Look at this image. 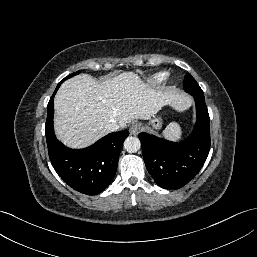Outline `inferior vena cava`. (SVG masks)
Masks as SVG:
<instances>
[{"label": "inferior vena cava", "instance_id": "1", "mask_svg": "<svg viewBox=\"0 0 257 257\" xmlns=\"http://www.w3.org/2000/svg\"><path fill=\"white\" fill-rule=\"evenodd\" d=\"M120 126L116 122L109 123L105 126L107 132H114L117 131Z\"/></svg>", "mask_w": 257, "mask_h": 257}]
</instances>
